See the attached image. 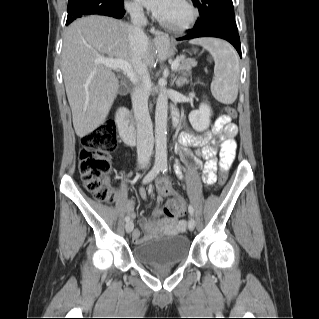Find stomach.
<instances>
[{
	"instance_id": "1",
	"label": "stomach",
	"mask_w": 319,
	"mask_h": 319,
	"mask_svg": "<svg viewBox=\"0 0 319 319\" xmlns=\"http://www.w3.org/2000/svg\"><path fill=\"white\" fill-rule=\"evenodd\" d=\"M158 49L163 55V57H169L174 53V47L171 45L170 41L166 38L162 39L158 43Z\"/></svg>"
}]
</instances>
